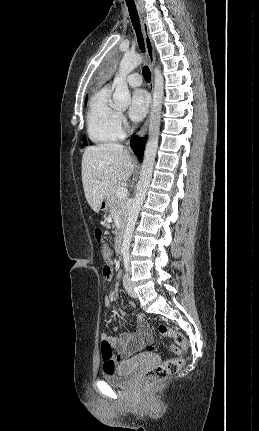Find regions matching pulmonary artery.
Here are the masks:
<instances>
[{
    "instance_id": "obj_1",
    "label": "pulmonary artery",
    "mask_w": 259,
    "mask_h": 431,
    "mask_svg": "<svg viewBox=\"0 0 259 431\" xmlns=\"http://www.w3.org/2000/svg\"><path fill=\"white\" fill-rule=\"evenodd\" d=\"M127 83L132 87H138L142 83L141 76L138 73H133L128 76Z\"/></svg>"
}]
</instances>
